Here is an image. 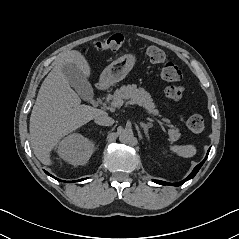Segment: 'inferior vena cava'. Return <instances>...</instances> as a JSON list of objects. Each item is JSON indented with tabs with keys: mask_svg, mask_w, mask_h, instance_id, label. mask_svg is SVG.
Segmentation results:
<instances>
[{
	"mask_svg": "<svg viewBox=\"0 0 239 239\" xmlns=\"http://www.w3.org/2000/svg\"><path fill=\"white\" fill-rule=\"evenodd\" d=\"M95 122L102 126H111L114 124V119L109 117L106 112L95 117Z\"/></svg>",
	"mask_w": 239,
	"mask_h": 239,
	"instance_id": "602c4592",
	"label": "inferior vena cava"
}]
</instances>
